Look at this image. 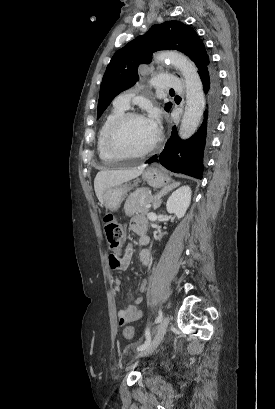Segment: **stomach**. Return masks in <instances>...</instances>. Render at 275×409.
Masks as SVG:
<instances>
[{"mask_svg": "<svg viewBox=\"0 0 275 409\" xmlns=\"http://www.w3.org/2000/svg\"><path fill=\"white\" fill-rule=\"evenodd\" d=\"M142 176L144 180H147L148 184L154 186V188L167 186L170 182V176H168L166 172H163L161 168H155V166H149V168H146ZM130 188L131 186H129V184H117V186H112V188H106L103 192L104 207H106L108 211H117L125 194H127Z\"/></svg>", "mask_w": 275, "mask_h": 409, "instance_id": "stomach-1", "label": "stomach"}]
</instances>
